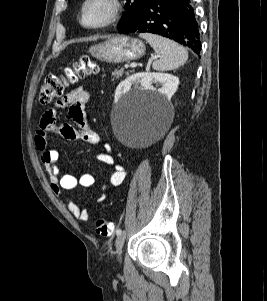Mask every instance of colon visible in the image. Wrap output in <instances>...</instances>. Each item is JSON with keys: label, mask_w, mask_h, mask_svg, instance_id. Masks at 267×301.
Segmentation results:
<instances>
[{"label": "colon", "mask_w": 267, "mask_h": 301, "mask_svg": "<svg viewBox=\"0 0 267 301\" xmlns=\"http://www.w3.org/2000/svg\"><path fill=\"white\" fill-rule=\"evenodd\" d=\"M98 72L97 64L88 56H82L71 67L64 70L61 75H49L39 93V102L48 104L55 98L63 95L65 89L87 75ZM96 231L101 236H111L114 231V225L105 218H99L95 222Z\"/></svg>", "instance_id": "colon-1"}]
</instances>
